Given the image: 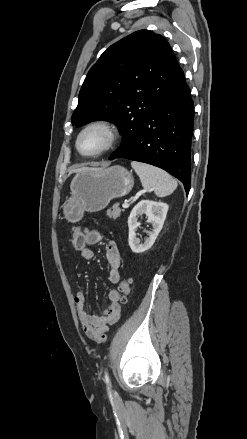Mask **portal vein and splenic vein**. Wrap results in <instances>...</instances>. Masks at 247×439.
Instances as JSON below:
<instances>
[{"label":"portal vein and splenic vein","instance_id":"1","mask_svg":"<svg viewBox=\"0 0 247 439\" xmlns=\"http://www.w3.org/2000/svg\"><path fill=\"white\" fill-rule=\"evenodd\" d=\"M122 207H123V208H128V207H129V203H128L127 201H125V202L122 204Z\"/></svg>","mask_w":247,"mask_h":439}]
</instances>
